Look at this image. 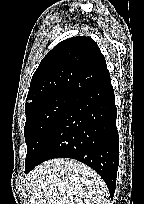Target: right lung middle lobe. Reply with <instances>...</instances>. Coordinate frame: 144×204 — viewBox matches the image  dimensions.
<instances>
[{
    "label": "right lung middle lobe",
    "instance_id": "right-lung-middle-lobe-1",
    "mask_svg": "<svg viewBox=\"0 0 144 204\" xmlns=\"http://www.w3.org/2000/svg\"><path fill=\"white\" fill-rule=\"evenodd\" d=\"M74 97L75 95L69 93L57 94L26 108L24 134L27 155L25 170L32 165L38 151Z\"/></svg>",
    "mask_w": 144,
    "mask_h": 204
}]
</instances>
